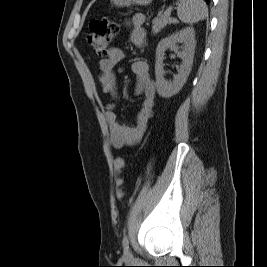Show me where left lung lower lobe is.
<instances>
[{
  "instance_id": "1",
  "label": "left lung lower lobe",
  "mask_w": 267,
  "mask_h": 267,
  "mask_svg": "<svg viewBox=\"0 0 267 267\" xmlns=\"http://www.w3.org/2000/svg\"><path fill=\"white\" fill-rule=\"evenodd\" d=\"M207 3H209L210 2V0H205Z\"/></svg>"
}]
</instances>
